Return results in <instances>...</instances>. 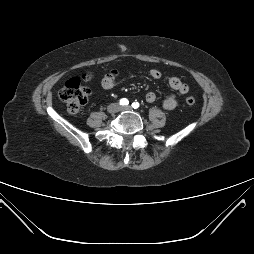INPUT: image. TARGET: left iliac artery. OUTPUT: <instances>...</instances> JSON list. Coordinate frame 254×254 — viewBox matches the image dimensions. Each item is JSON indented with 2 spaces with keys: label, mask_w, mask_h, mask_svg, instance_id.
I'll return each mask as SVG.
<instances>
[{
  "label": "left iliac artery",
  "mask_w": 254,
  "mask_h": 254,
  "mask_svg": "<svg viewBox=\"0 0 254 254\" xmlns=\"http://www.w3.org/2000/svg\"><path fill=\"white\" fill-rule=\"evenodd\" d=\"M132 107H133L134 109H137V108L139 107V103H138V102H133V103H132Z\"/></svg>",
  "instance_id": "1"
}]
</instances>
